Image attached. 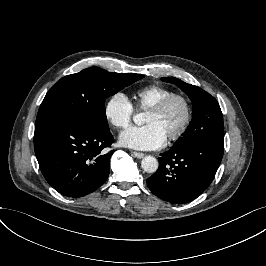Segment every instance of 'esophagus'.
I'll list each match as a JSON object with an SVG mask.
<instances>
[{"label": "esophagus", "mask_w": 266, "mask_h": 266, "mask_svg": "<svg viewBox=\"0 0 266 266\" xmlns=\"http://www.w3.org/2000/svg\"><path fill=\"white\" fill-rule=\"evenodd\" d=\"M133 156L138 158V159H141L144 157V153L142 152H132Z\"/></svg>", "instance_id": "34e87169"}]
</instances>
